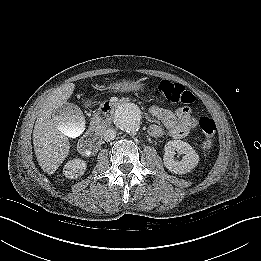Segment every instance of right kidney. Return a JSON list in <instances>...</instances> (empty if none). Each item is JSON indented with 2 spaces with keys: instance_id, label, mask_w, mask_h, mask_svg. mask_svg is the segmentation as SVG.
<instances>
[{
  "instance_id": "obj_1",
  "label": "right kidney",
  "mask_w": 261,
  "mask_h": 261,
  "mask_svg": "<svg viewBox=\"0 0 261 261\" xmlns=\"http://www.w3.org/2000/svg\"><path fill=\"white\" fill-rule=\"evenodd\" d=\"M87 164L84 160L73 159L68 161L64 166V175L68 178H77L84 174Z\"/></svg>"
}]
</instances>
